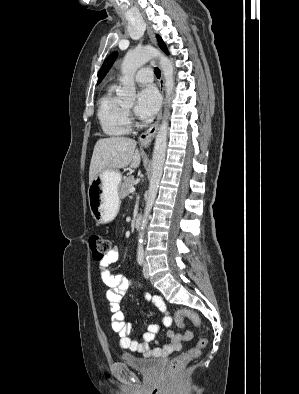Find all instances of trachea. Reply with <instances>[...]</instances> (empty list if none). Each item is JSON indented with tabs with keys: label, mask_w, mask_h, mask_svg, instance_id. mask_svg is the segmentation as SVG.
Returning <instances> with one entry per match:
<instances>
[{
	"label": "trachea",
	"mask_w": 299,
	"mask_h": 394,
	"mask_svg": "<svg viewBox=\"0 0 299 394\" xmlns=\"http://www.w3.org/2000/svg\"><path fill=\"white\" fill-rule=\"evenodd\" d=\"M155 75L157 76V78H160L161 72L159 68H155Z\"/></svg>",
	"instance_id": "3493384b"
}]
</instances>
